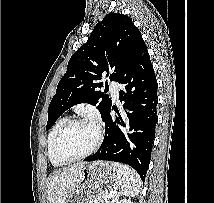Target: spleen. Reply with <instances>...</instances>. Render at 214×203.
<instances>
[{
    "instance_id": "3e777b00",
    "label": "spleen",
    "mask_w": 214,
    "mask_h": 203,
    "mask_svg": "<svg viewBox=\"0 0 214 203\" xmlns=\"http://www.w3.org/2000/svg\"><path fill=\"white\" fill-rule=\"evenodd\" d=\"M116 171V185L123 196H137L141 189L139 175L129 166L120 163H111Z\"/></svg>"
}]
</instances>
